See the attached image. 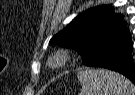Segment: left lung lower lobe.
<instances>
[{
  "label": "left lung lower lobe",
  "instance_id": "0a47b994",
  "mask_svg": "<svg viewBox=\"0 0 135 95\" xmlns=\"http://www.w3.org/2000/svg\"><path fill=\"white\" fill-rule=\"evenodd\" d=\"M133 43L129 29L126 28L105 37L95 53L84 64L102 67L121 73L135 84Z\"/></svg>",
  "mask_w": 135,
  "mask_h": 95
}]
</instances>
